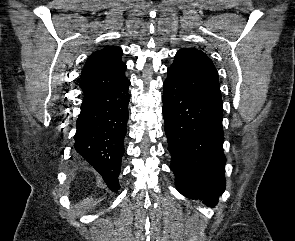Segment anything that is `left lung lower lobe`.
<instances>
[{
	"instance_id": "1",
	"label": "left lung lower lobe",
	"mask_w": 295,
	"mask_h": 241,
	"mask_svg": "<svg viewBox=\"0 0 295 241\" xmlns=\"http://www.w3.org/2000/svg\"><path fill=\"white\" fill-rule=\"evenodd\" d=\"M163 117L177 190L210 207L225 190L222 103L194 93L168 71Z\"/></svg>"
}]
</instances>
